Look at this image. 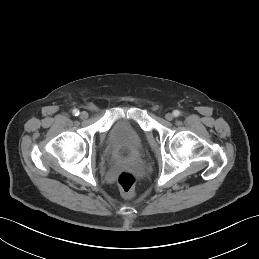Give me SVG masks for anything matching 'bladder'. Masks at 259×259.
Instances as JSON below:
<instances>
[{
	"label": "bladder",
	"instance_id": "bladder-1",
	"mask_svg": "<svg viewBox=\"0 0 259 259\" xmlns=\"http://www.w3.org/2000/svg\"><path fill=\"white\" fill-rule=\"evenodd\" d=\"M106 147L118 159H132L143 147L141 133L127 119H119L108 130Z\"/></svg>",
	"mask_w": 259,
	"mask_h": 259
}]
</instances>
